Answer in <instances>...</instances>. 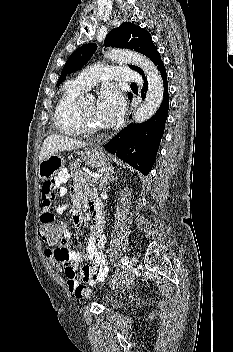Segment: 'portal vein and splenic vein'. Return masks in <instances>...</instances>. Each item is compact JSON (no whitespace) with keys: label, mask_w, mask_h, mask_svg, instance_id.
<instances>
[{"label":"portal vein and splenic vein","mask_w":233,"mask_h":352,"mask_svg":"<svg viewBox=\"0 0 233 352\" xmlns=\"http://www.w3.org/2000/svg\"><path fill=\"white\" fill-rule=\"evenodd\" d=\"M89 175L91 176V177H93V178H100V177H102V173L100 174V173H89Z\"/></svg>","instance_id":"1"}]
</instances>
